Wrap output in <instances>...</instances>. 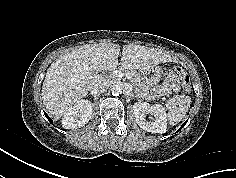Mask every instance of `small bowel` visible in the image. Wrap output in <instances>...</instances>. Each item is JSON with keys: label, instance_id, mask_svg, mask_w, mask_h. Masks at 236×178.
Wrapping results in <instances>:
<instances>
[{"label": "small bowel", "instance_id": "1", "mask_svg": "<svg viewBox=\"0 0 236 178\" xmlns=\"http://www.w3.org/2000/svg\"><path fill=\"white\" fill-rule=\"evenodd\" d=\"M173 87H174V84L172 82H170L169 80L163 81L158 86L156 97H158V98L161 97L164 93L171 90Z\"/></svg>", "mask_w": 236, "mask_h": 178}]
</instances>
